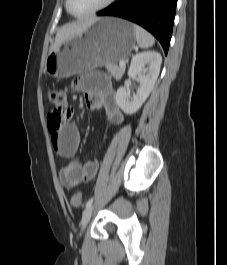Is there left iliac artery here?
Instances as JSON below:
<instances>
[{
    "instance_id": "1",
    "label": "left iliac artery",
    "mask_w": 227,
    "mask_h": 265,
    "mask_svg": "<svg viewBox=\"0 0 227 265\" xmlns=\"http://www.w3.org/2000/svg\"><path fill=\"white\" fill-rule=\"evenodd\" d=\"M93 203V197H91L87 203H86V208H88L91 204Z\"/></svg>"
}]
</instances>
